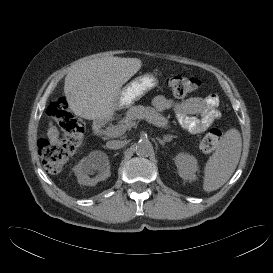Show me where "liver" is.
<instances>
[{"label":"liver","mask_w":273,"mask_h":273,"mask_svg":"<svg viewBox=\"0 0 273 273\" xmlns=\"http://www.w3.org/2000/svg\"><path fill=\"white\" fill-rule=\"evenodd\" d=\"M142 66L138 58L102 57L81 62L65 77L64 93L69 108L89 120L113 119L119 109L121 87ZM47 136L51 145L59 143V130L49 122Z\"/></svg>","instance_id":"obj_1"}]
</instances>
